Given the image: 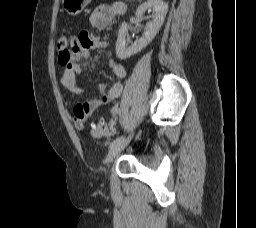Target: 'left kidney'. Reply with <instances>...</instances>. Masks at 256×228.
Listing matches in <instances>:
<instances>
[{
    "instance_id": "left-kidney-1",
    "label": "left kidney",
    "mask_w": 256,
    "mask_h": 228,
    "mask_svg": "<svg viewBox=\"0 0 256 228\" xmlns=\"http://www.w3.org/2000/svg\"><path fill=\"white\" fill-rule=\"evenodd\" d=\"M151 11L154 12L152 20L147 23L142 37L137 39L135 42L131 43L127 37L129 28L128 24L122 23L116 42V56L119 59L131 57L145 48L154 39L163 25L168 11V4L163 0H148L137 8L135 15L138 18H142L146 12L149 13Z\"/></svg>"
}]
</instances>
